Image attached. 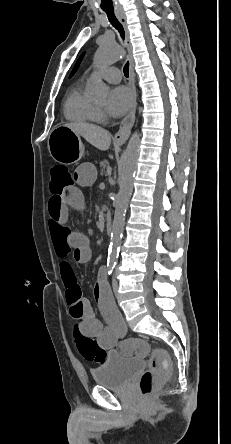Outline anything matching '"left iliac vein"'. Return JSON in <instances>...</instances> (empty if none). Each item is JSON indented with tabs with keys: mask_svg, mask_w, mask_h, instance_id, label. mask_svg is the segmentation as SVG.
Listing matches in <instances>:
<instances>
[{
	"mask_svg": "<svg viewBox=\"0 0 231 444\" xmlns=\"http://www.w3.org/2000/svg\"><path fill=\"white\" fill-rule=\"evenodd\" d=\"M112 288H113L114 293L117 294V291H118V283H117V281H116L115 279H114L113 282H112Z\"/></svg>",
	"mask_w": 231,
	"mask_h": 444,
	"instance_id": "4c4485c4",
	"label": "left iliac vein"
}]
</instances>
